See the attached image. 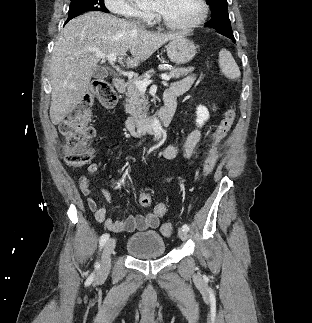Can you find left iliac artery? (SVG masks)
Listing matches in <instances>:
<instances>
[{
	"instance_id": "1",
	"label": "left iliac artery",
	"mask_w": 312,
	"mask_h": 323,
	"mask_svg": "<svg viewBox=\"0 0 312 323\" xmlns=\"http://www.w3.org/2000/svg\"><path fill=\"white\" fill-rule=\"evenodd\" d=\"M182 228H183V230H185L186 232H188V231H189V226H188L187 224H184V225L182 226Z\"/></svg>"
}]
</instances>
